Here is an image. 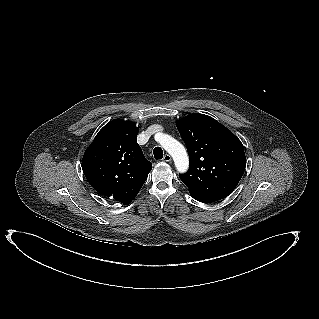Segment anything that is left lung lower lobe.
Wrapping results in <instances>:
<instances>
[{
	"instance_id": "obj_1",
	"label": "left lung lower lobe",
	"mask_w": 319,
	"mask_h": 319,
	"mask_svg": "<svg viewBox=\"0 0 319 319\" xmlns=\"http://www.w3.org/2000/svg\"><path fill=\"white\" fill-rule=\"evenodd\" d=\"M190 194H191V193H190ZM191 196H192L195 200H197V201H199V202H203V203L212 202L211 200L206 199V198H204V197H202V196H199V195H196V194H191Z\"/></svg>"
}]
</instances>
